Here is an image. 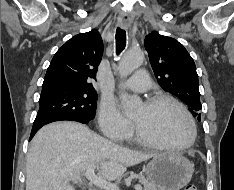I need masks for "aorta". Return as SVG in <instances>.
I'll list each match as a JSON object with an SVG mask.
<instances>
[{
    "label": "aorta",
    "mask_w": 234,
    "mask_h": 190,
    "mask_svg": "<svg viewBox=\"0 0 234 190\" xmlns=\"http://www.w3.org/2000/svg\"><path fill=\"white\" fill-rule=\"evenodd\" d=\"M143 58L144 55L141 50H128L126 53H124L118 64L120 75L122 77H127L128 75H130L142 64ZM120 99L127 112L133 111V109L137 106V104L140 101L138 97L131 96L125 92H122L120 94Z\"/></svg>",
    "instance_id": "obj_1"
}]
</instances>
